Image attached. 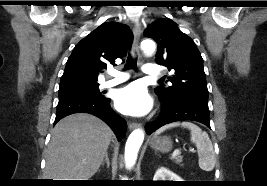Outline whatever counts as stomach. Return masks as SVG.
Returning a JSON list of instances; mask_svg holds the SVG:
<instances>
[{"label":"stomach","instance_id":"1","mask_svg":"<svg viewBox=\"0 0 267 186\" xmlns=\"http://www.w3.org/2000/svg\"><path fill=\"white\" fill-rule=\"evenodd\" d=\"M150 146L161 152H168L172 148V141L168 137H154L150 141Z\"/></svg>","mask_w":267,"mask_h":186}]
</instances>
